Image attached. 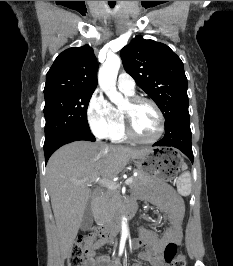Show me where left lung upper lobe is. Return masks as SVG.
<instances>
[{
    "label": "left lung upper lobe",
    "instance_id": "left-lung-upper-lobe-1",
    "mask_svg": "<svg viewBox=\"0 0 233 266\" xmlns=\"http://www.w3.org/2000/svg\"><path fill=\"white\" fill-rule=\"evenodd\" d=\"M121 58L126 72L162 111L165 125L188 109L183 63L167 45L136 36L121 50Z\"/></svg>",
    "mask_w": 233,
    "mask_h": 266
}]
</instances>
